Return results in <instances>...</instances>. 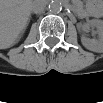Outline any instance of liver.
<instances>
[{"label": "liver", "instance_id": "6515ba94", "mask_svg": "<svg viewBox=\"0 0 103 103\" xmlns=\"http://www.w3.org/2000/svg\"><path fill=\"white\" fill-rule=\"evenodd\" d=\"M31 2L25 0H5L1 2L0 46L7 49L15 45L30 19Z\"/></svg>", "mask_w": 103, "mask_h": 103}]
</instances>
